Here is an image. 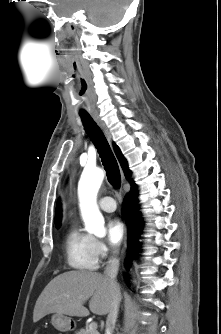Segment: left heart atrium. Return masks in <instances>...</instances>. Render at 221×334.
<instances>
[{
	"mask_svg": "<svg viewBox=\"0 0 221 334\" xmlns=\"http://www.w3.org/2000/svg\"><path fill=\"white\" fill-rule=\"evenodd\" d=\"M108 241L113 246H118L124 239L125 227L120 219L113 218L107 223Z\"/></svg>",
	"mask_w": 221,
	"mask_h": 334,
	"instance_id": "obj_1",
	"label": "left heart atrium"
}]
</instances>
